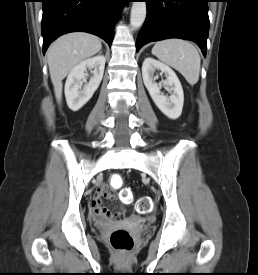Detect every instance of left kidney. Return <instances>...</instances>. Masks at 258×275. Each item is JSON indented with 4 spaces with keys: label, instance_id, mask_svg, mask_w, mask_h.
Returning <instances> with one entry per match:
<instances>
[{
    "label": "left kidney",
    "instance_id": "1",
    "mask_svg": "<svg viewBox=\"0 0 258 275\" xmlns=\"http://www.w3.org/2000/svg\"><path fill=\"white\" fill-rule=\"evenodd\" d=\"M156 70H160L166 76L162 84L170 88L169 97L160 91L162 84L156 83L153 79ZM142 77L145 87L160 111L172 120L179 118L182 113L184 94L176 73L168 65L148 57L142 65Z\"/></svg>",
    "mask_w": 258,
    "mask_h": 275
}]
</instances>
